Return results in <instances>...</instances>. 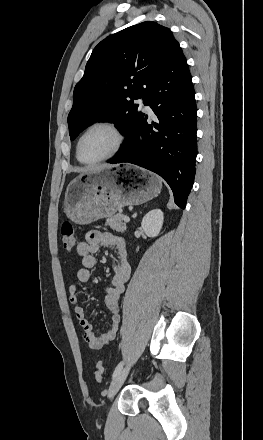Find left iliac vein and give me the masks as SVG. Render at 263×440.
I'll return each instance as SVG.
<instances>
[{
  "label": "left iliac vein",
  "instance_id": "4c4485c4",
  "mask_svg": "<svg viewBox=\"0 0 263 440\" xmlns=\"http://www.w3.org/2000/svg\"><path fill=\"white\" fill-rule=\"evenodd\" d=\"M129 370H130V366L125 367L113 379V381L110 384L109 390H108V397L109 398L113 397L118 392L120 387L123 385L128 373H129Z\"/></svg>",
  "mask_w": 263,
  "mask_h": 440
}]
</instances>
